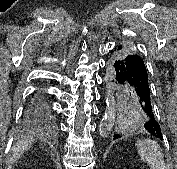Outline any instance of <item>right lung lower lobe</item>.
<instances>
[{
    "instance_id": "obj_1",
    "label": "right lung lower lobe",
    "mask_w": 177,
    "mask_h": 169,
    "mask_svg": "<svg viewBox=\"0 0 177 169\" xmlns=\"http://www.w3.org/2000/svg\"><path fill=\"white\" fill-rule=\"evenodd\" d=\"M28 116L31 119H45L50 115V109L41 94H37L28 107Z\"/></svg>"
}]
</instances>
